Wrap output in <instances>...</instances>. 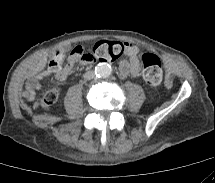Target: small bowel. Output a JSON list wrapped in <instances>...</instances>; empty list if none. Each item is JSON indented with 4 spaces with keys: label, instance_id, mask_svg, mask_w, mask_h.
Returning a JSON list of instances; mask_svg holds the SVG:
<instances>
[{
    "label": "small bowel",
    "instance_id": "c3829d8e",
    "mask_svg": "<svg viewBox=\"0 0 215 183\" xmlns=\"http://www.w3.org/2000/svg\"><path fill=\"white\" fill-rule=\"evenodd\" d=\"M126 52L129 55V60H123L120 62L119 76L121 78H125L129 75L137 76L140 71V67L136 58L137 48L131 44H126ZM75 65L76 61L70 55L67 65L60 72L53 74L57 79L63 80ZM50 74H52V72L45 69L44 62L39 61L26 82L25 96L27 99L34 98L36 91L41 88V81Z\"/></svg>",
    "mask_w": 215,
    "mask_h": 183
}]
</instances>
